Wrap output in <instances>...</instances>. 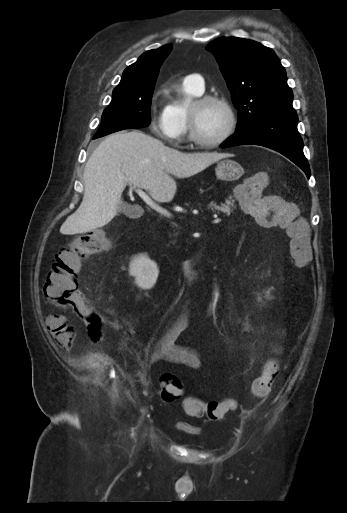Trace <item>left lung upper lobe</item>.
<instances>
[{"instance_id": "left-lung-upper-lobe-1", "label": "left lung upper lobe", "mask_w": 347, "mask_h": 513, "mask_svg": "<svg viewBox=\"0 0 347 513\" xmlns=\"http://www.w3.org/2000/svg\"><path fill=\"white\" fill-rule=\"evenodd\" d=\"M207 48L216 55L239 111L236 132L270 115L296 114L285 69L272 49L236 37L217 38Z\"/></svg>"}]
</instances>
